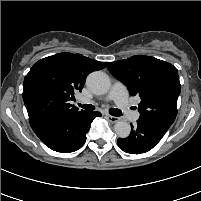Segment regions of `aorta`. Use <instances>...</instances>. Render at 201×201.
Instances as JSON below:
<instances>
[{"label":"aorta","mask_w":201,"mask_h":201,"mask_svg":"<svg viewBox=\"0 0 201 201\" xmlns=\"http://www.w3.org/2000/svg\"><path fill=\"white\" fill-rule=\"evenodd\" d=\"M88 88L97 95L106 94L110 89V79L102 71H95L89 74L86 80ZM114 131L120 138H127L131 132L130 124L125 121H118L114 125Z\"/></svg>","instance_id":"aorta-1"}]
</instances>
